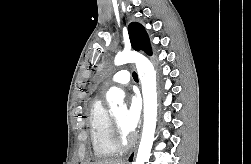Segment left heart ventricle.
<instances>
[{
	"mask_svg": "<svg viewBox=\"0 0 251 164\" xmlns=\"http://www.w3.org/2000/svg\"><path fill=\"white\" fill-rule=\"evenodd\" d=\"M124 114H125V111L123 109H120V110L114 112V115H113L123 131H125L122 126Z\"/></svg>",
	"mask_w": 251,
	"mask_h": 164,
	"instance_id": "left-heart-ventricle-1",
	"label": "left heart ventricle"
}]
</instances>
